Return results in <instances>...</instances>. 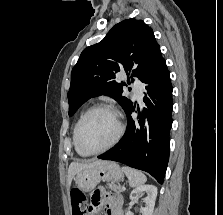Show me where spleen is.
<instances>
[{
	"label": "spleen",
	"instance_id": "obj_1",
	"mask_svg": "<svg viewBox=\"0 0 223 215\" xmlns=\"http://www.w3.org/2000/svg\"><path fill=\"white\" fill-rule=\"evenodd\" d=\"M122 171H124L125 175H127L129 179V185L131 187H136V185H142L145 183L147 177L142 173V171H138V169H133V167H122Z\"/></svg>",
	"mask_w": 223,
	"mask_h": 215
}]
</instances>
